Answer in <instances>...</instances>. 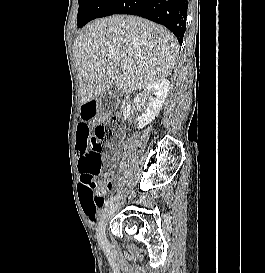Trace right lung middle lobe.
<instances>
[{
    "label": "right lung middle lobe",
    "instance_id": "dd1d6c3e",
    "mask_svg": "<svg viewBox=\"0 0 265 273\" xmlns=\"http://www.w3.org/2000/svg\"><path fill=\"white\" fill-rule=\"evenodd\" d=\"M118 0H78L77 25L83 27L89 21L104 17Z\"/></svg>",
    "mask_w": 265,
    "mask_h": 273
}]
</instances>
